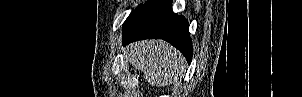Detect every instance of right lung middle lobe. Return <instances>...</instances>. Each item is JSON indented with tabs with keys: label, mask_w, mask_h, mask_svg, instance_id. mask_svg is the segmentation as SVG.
<instances>
[{
	"label": "right lung middle lobe",
	"mask_w": 302,
	"mask_h": 97,
	"mask_svg": "<svg viewBox=\"0 0 302 97\" xmlns=\"http://www.w3.org/2000/svg\"><path fill=\"white\" fill-rule=\"evenodd\" d=\"M141 7V5H139L135 10H133V12L129 15V17L126 19V21ZM125 21V22H126Z\"/></svg>",
	"instance_id": "dd1d6c3e"
}]
</instances>
